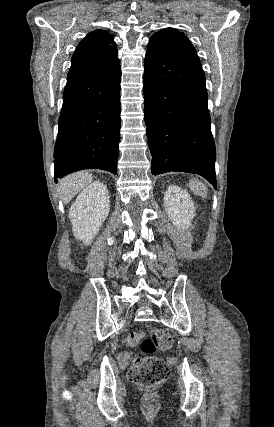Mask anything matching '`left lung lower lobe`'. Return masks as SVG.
Instances as JSON below:
<instances>
[{
  "mask_svg": "<svg viewBox=\"0 0 274 427\" xmlns=\"http://www.w3.org/2000/svg\"><path fill=\"white\" fill-rule=\"evenodd\" d=\"M144 116L152 174L196 173L215 188V144L205 75L196 53L151 38L145 57Z\"/></svg>",
  "mask_w": 274,
  "mask_h": 427,
  "instance_id": "1",
  "label": "left lung lower lobe"
}]
</instances>
